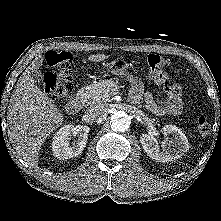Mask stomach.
Wrapping results in <instances>:
<instances>
[{
	"instance_id": "stomach-1",
	"label": "stomach",
	"mask_w": 221,
	"mask_h": 221,
	"mask_svg": "<svg viewBox=\"0 0 221 221\" xmlns=\"http://www.w3.org/2000/svg\"><path fill=\"white\" fill-rule=\"evenodd\" d=\"M109 68L112 74L123 76L129 68V63L123 58H117L110 63Z\"/></svg>"
}]
</instances>
